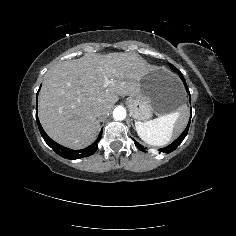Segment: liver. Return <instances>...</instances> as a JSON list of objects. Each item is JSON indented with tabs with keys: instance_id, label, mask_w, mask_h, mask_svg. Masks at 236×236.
I'll return each mask as SVG.
<instances>
[{
	"instance_id": "6515ba94",
	"label": "liver",
	"mask_w": 236,
	"mask_h": 236,
	"mask_svg": "<svg viewBox=\"0 0 236 236\" xmlns=\"http://www.w3.org/2000/svg\"><path fill=\"white\" fill-rule=\"evenodd\" d=\"M146 63L134 53H86L51 67L38 94V119L58 144L81 150L96 139L100 124L94 112L107 115L120 94L135 96L148 73ZM110 80L101 91L104 76Z\"/></svg>"
}]
</instances>
